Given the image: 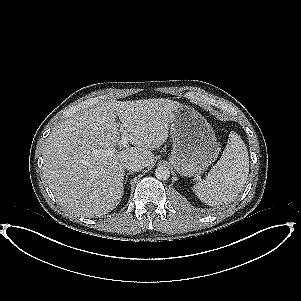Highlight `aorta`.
<instances>
[{"label": "aorta", "instance_id": "obj_1", "mask_svg": "<svg viewBox=\"0 0 301 301\" xmlns=\"http://www.w3.org/2000/svg\"><path fill=\"white\" fill-rule=\"evenodd\" d=\"M155 176L159 180H167L170 177V171L165 166H159L155 170Z\"/></svg>", "mask_w": 301, "mask_h": 301}]
</instances>
